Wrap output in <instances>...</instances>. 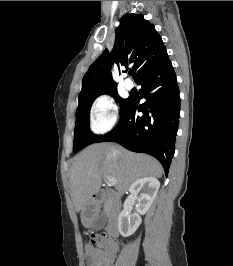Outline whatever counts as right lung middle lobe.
Returning <instances> with one entry per match:
<instances>
[{"mask_svg":"<svg viewBox=\"0 0 233 266\" xmlns=\"http://www.w3.org/2000/svg\"><path fill=\"white\" fill-rule=\"evenodd\" d=\"M101 94H109L113 96L120 104V112L123 110V108L129 101V98L122 99L118 95L116 88L79 99L78 108L76 111V125L74 129L73 151L75 152L79 151L80 149L84 148L89 144L96 142L101 137L100 135H94L90 131L89 127V113L91 105L95 98Z\"/></svg>","mask_w":233,"mask_h":266,"instance_id":"right-lung-middle-lobe-1","label":"right lung middle lobe"}]
</instances>
